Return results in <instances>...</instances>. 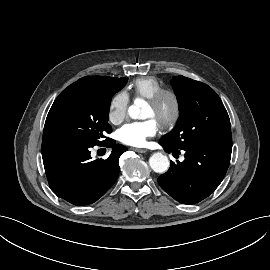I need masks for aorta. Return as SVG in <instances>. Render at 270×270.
I'll use <instances>...</instances> for the list:
<instances>
[{"mask_svg":"<svg viewBox=\"0 0 270 270\" xmlns=\"http://www.w3.org/2000/svg\"><path fill=\"white\" fill-rule=\"evenodd\" d=\"M145 106V102L141 99L135 100L134 104L128 109L129 116L132 119H144L142 114V108ZM149 164L151 169L156 173H163L169 168V159L166 155L157 152L154 153L150 159Z\"/></svg>","mask_w":270,"mask_h":270,"instance_id":"762f6f07","label":"aorta"}]
</instances>
